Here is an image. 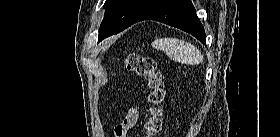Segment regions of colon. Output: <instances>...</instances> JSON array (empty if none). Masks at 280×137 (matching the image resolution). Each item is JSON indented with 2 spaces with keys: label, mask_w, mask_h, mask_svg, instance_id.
<instances>
[{
  "label": "colon",
  "mask_w": 280,
  "mask_h": 137,
  "mask_svg": "<svg viewBox=\"0 0 280 137\" xmlns=\"http://www.w3.org/2000/svg\"><path fill=\"white\" fill-rule=\"evenodd\" d=\"M123 65L129 72L145 77L148 81L149 116L145 122V134L147 137H154L161 130V106L165 97L163 75L156 61L149 56L130 53L124 58ZM128 129V125L117 124L114 127L113 137H125Z\"/></svg>",
  "instance_id": "colon-1"
}]
</instances>
